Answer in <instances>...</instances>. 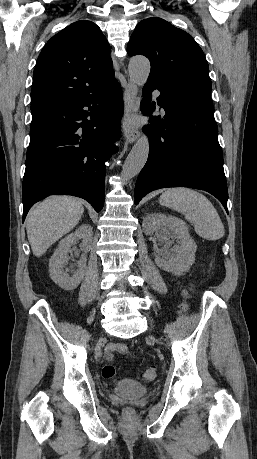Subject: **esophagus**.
Here are the masks:
<instances>
[{
	"mask_svg": "<svg viewBox=\"0 0 257 459\" xmlns=\"http://www.w3.org/2000/svg\"><path fill=\"white\" fill-rule=\"evenodd\" d=\"M125 103V120L123 122V133L125 139L129 143H133L139 136L138 127L132 126L129 122V117L139 109V97L137 87L131 80H128L126 89L124 91Z\"/></svg>",
	"mask_w": 257,
	"mask_h": 459,
	"instance_id": "1",
	"label": "esophagus"
}]
</instances>
